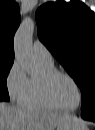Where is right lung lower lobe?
Returning a JSON list of instances; mask_svg holds the SVG:
<instances>
[{
	"instance_id": "right-lung-lower-lobe-1",
	"label": "right lung lower lobe",
	"mask_w": 95,
	"mask_h": 130,
	"mask_svg": "<svg viewBox=\"0 0 95 130\" xmlns=\"http://www.w3.org/2000/svg\"><path fill=\"white\" fill-rule=\"evenodd\" d=\"M1 101H8V100H4V99H0Z\"/></svg>"
}]
</instances>
